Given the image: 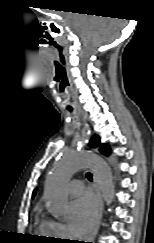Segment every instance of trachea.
<instances>
[{"instance_id":"obj_1","label":"trachea","mask_w":154,"mask_h":243,"mask_svg":"<svg viewBox=\"0 0 154 243\" xmlns=\"http://www.w3.org/2000/svg\"><path fill=\"white\" fill-rule=\"evenodd\" d=\"M70 112H72V109H68ZM86 177L89 181H92V174L90 172L86 173Z\"/></svg>"}]
</instances>
